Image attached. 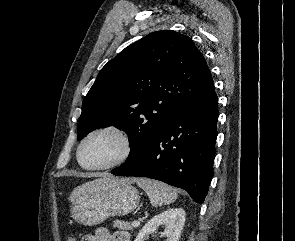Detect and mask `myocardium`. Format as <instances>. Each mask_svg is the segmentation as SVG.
Listing matches in <instances>:
<instances>
[{
	"label": "myocardium",
	"mask_w": 295,
	"mask_h": 241,
	"mask_svg": "<svg viewBox=\"0 0 295 241\" xmlns=\"http://www.w3.org/2000/svg\"><path fill=\"white\" fill-rule=\"evenodd\" d=\"M101 132H111V133H114L117 136H119V138L123 142V147H124L123 153L121 154V156L118 159H116L115 161H113L111 163H108L105 165H99V166H87V165L83 164V162L81 160L82 148L89 138H91L93 135L101 133ZM133 150H134V145H133L132 138H131L130 134L125 129H123L122 127L116 126V125H104V126H100L98 128L93 129L81 140V142L79 143L78 148H77L76 158H77L79 165L86 170H93V171L94 170H108V169L118 167V166L124 164L125 162H127L129 160V158L132 156Z\"/></svg>",
	"instance_id": "myocardium-1"
}]
</instances>
